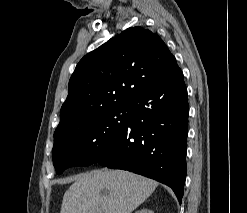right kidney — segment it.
I'll return each mask as SVG.
<instances>
[{
	"mask_svg": "<svg viewBox=\"0 0 247 213\" xmlns=\"http://www.w3.org/2000/svg\"><path fill=\"white\" fill-rule=\"evenodd\" d=\"M135 213H154V212L148 208H142L140 210H137Z\"/></svg>",
	"mask_w": 247,
	"mask_h": 213,
	"instance_id": "obj_1",
	"label": "right kidney"
}]
</instances>
